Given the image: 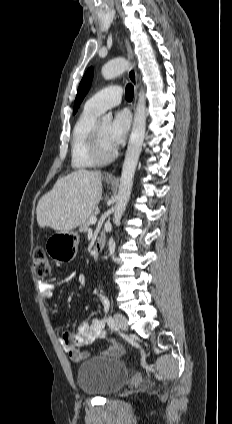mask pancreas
Instances as JSON below:
<instances>
[{"instance_id":"cf45deb5","label":"pancreas","mask_w":232,"mask_h":424,"mask_svg":"<svg viewBox=\"0 0 232 424\" xmlns=\"http://www.w3.org/2000/svg\"><path fill=\"white\" fill-rule=\"evenodd\" d=\"M92 217H95V214L94 213H91L83 222H82V224L80 225V228H79V231L80 232H83V233H85L87 230H88V228H89V226H90V222H89V220H90V218H92Z\"/></svg>"}]
</instances>
